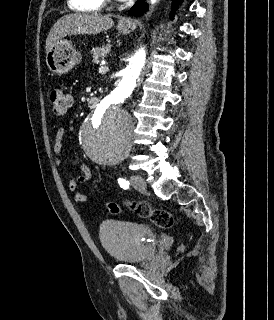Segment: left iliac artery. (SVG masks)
Segmentation results:
<instances>
[{
  "instance_id": "1",
  "label": "left iliac artery",
  "mask_w": 274,
  "mask_h": 320,
  "mask_svg": "<svg viewBox=\"0 0 274 320\" xmlns=\"http://www.w3.org/2000/svg\"><path fill=\"white\" fill-rule=\"evenodd\" d=\"M118 183L120 185L121 188L123 189H128L129 188V182L123 178H119L118 179Z\"/></svg>"
}]
</instances>
